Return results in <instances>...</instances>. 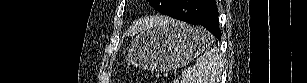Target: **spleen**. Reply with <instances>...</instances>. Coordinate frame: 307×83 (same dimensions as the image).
<instances>
[{
  "label": "spleen",
  "mask_w": 307,
  "mask_h": 83,
  "mask_svg": "<svg viewBox=\"0 0 307 83\" xmlns=\"http://www.w3.org/2000/svg\"><path fill=\"white\" fill-rule=\"evenodd\" d=\"M208 39L213 36L208 33ZM223 59L219 48L206 47L203 55L197 58L195 66L182 71L181 83H216L221 76Z\"/></svg>",
  "instance_id": "spleen-1"
}]
</instances>
